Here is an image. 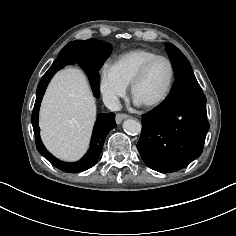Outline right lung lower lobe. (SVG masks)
<instances>
[{
  "label": "right lung lower lobe",
  "instance_id": "1",
  "mask_svg": "<svg viewBox=\"0 0 236 236\" xmlns=\"http://www.w3.org/2000/svg\"><path fill=\"white\" fill-rule=\"evenodd\" d=\"M112 47L109 43L99 41L97 39H88L84 41L69 42L60 52L58 58L53 62L51 67L42 77L37 87L36 101L32 113V125L35 133V142L37 150L55 167L69 172L77 173L91 168L98 160L102 151L104 140L107 134L116 127L114 113H101L97 116V120L93 129L90 148L87 154L79 161L69 163L63 162L50 154L43 145L40 138V129L38 126V114L42 97L47 85L53 75L66 65L79 64L88 74L93 93L99 97L100 75L98 71L102 67L105 60L111 54Z\"/></svg>",
  "mask_w": 236,
  "mask_h": 236
}]
</instances>
